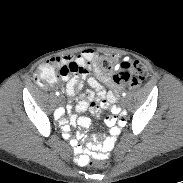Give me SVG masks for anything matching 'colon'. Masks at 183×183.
Wrapping results in <instances>:
<instances>
[{"instance_id": "obj_1", "label": "colon", "mask_w": 183, "mask_h": 183, "mask_svg": "<svg viewBox=\"0 0 183 183\" xmlns=\"http://www.w3.org/2000/svg\"><path fill=\"white\" fill-rule=\"evenodd\" d=\"M98 67L104 74L113 72V81L119 86H126L129 89L139 88L148 75V69L140 61L118 60L115 56L104 55L98 59ZM78 71L76 65H64L59 69L60 75H69ZM79 72V71H78ZM36 82L41 86L52 84L56 79L54 68L40 69L36 74ZM106 165V161H96L88 157L85 164L90 170H95L98 166Z\"/></svg>"}]
</instances>
